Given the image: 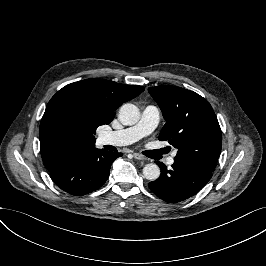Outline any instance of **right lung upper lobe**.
<instances>
[{
    "label": "right lung upper lobe",
    "instance_id": "1",
    "mask_svg": "<svg viewBox=\"0 0 266 266\" xmlns=\"http://www.w3.org/2000/svg\"><path fill=\"white\" fill-rule=\"evenodd\" d=\"M144 91L104 79H86L60 89L47 104L39 129L41 155L50 171L67 153L95 146L98 126L109 124L115 110ZM97 120L88 122L86 115Z\"/></svg>",
    "mask_w": 266,
    "mask_h": 266
}]
</instances>
